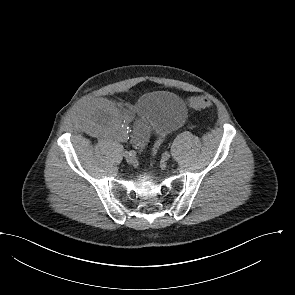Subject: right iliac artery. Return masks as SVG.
<instances>
[{"label":"right iliac artery","mask_w":295,"mask_h":295,"mask_svg":"<svg viewBox=\"0 0 295 295\" xmlns=\"http://www.w3.org/2000/svg\"><path fill=\"white\" fill-rule=\"evenodd\" d=\"M125 153L130 155V156H135V154H136V152L134 150L126 151Z\"/></svg>","instance_id":"1"}]
</instances>
